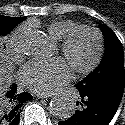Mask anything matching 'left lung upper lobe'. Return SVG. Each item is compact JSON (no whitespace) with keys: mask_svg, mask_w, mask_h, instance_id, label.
Here are the masks:
<instances>
[{"mask_svg":"<svg viewBox=\"0 0 125 125\" xmlns=\"http://www.w3.org/2000/svg\"><path fill=\"white\" fill-rule=\"evenodd\" d=\"M100 28L105 36L106 51L96 70L78 83L85 91L125 83L122 44L107 25L102 24Z\"/></svg>","mask_w":125,"mask_h":125,"instance_id":"5c2ea615","label":"left lung upper lobe"}]
</instances>
